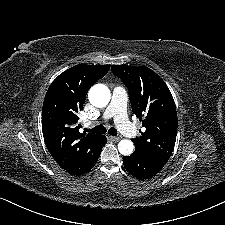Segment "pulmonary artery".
Masks as SVG:
<instances>
[{
    "label": "pulmonary artery",
    "instance_id": "pulmonary-artery-1",
    "mask_svg": "<svg viewBox=\"0 0 225 225\" xmlns=\"http://www.w3.org/2000/svg\"><path fill=\"white\" fill-rule=\"evenodd\" d=\"M127 91L124 87L116 85L112 92V99L107 106L102 119L107 120L113 117L119 128L123 131L127 130L129 120L126 112Z\"/></svg>",
    "mask_w": 225,
    "mask_h": 225
}]
</instances>
